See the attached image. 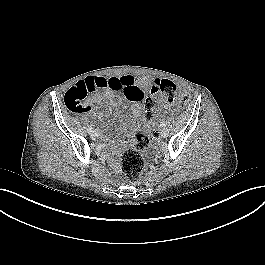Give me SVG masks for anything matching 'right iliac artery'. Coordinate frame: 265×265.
Segmentation results:
<instances>
[{
	"label": "right iliac artery",
	"mask_w": 265,
	"mask_h": 265,
	"mask_svg": "<svg viewBox=\"0 0 265 265\" xmlns=\"http://www.w3.org/2000/svg\"><path fill=\"white\" fill-rule=\"evenodd\" d=\"M87 131H88V133H91V132H93V128H92V126H91V125H89V126H88V128H87Z\"/></svg>",
	"instance_id": "right-iliac-artery-1"
}]
</instances>
